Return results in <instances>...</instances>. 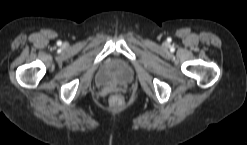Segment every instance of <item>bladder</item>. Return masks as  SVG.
Returning a JSON list of instances; mask_svg holds the SVG:
<instances>
[{
  "label": "bladder",
  "mask_w": 247,
  "mask_h": 145,
  "mask_svg": "<svg viewBox=\"0 0 247 145\" xmlns=\"http://www.w3.org/2000/svg\"><path fill=\"white\" fill-rule=\"evenodd\" d=\"M132 80V74L130 73L129 70L121 71L116 79V83L119 85H127L131 82ZM112 83L111 80L109 79H104L101 82L102 86L110 85Z\"/></svg>",
  "instance_id": "obj_1"
}]
</instances>
